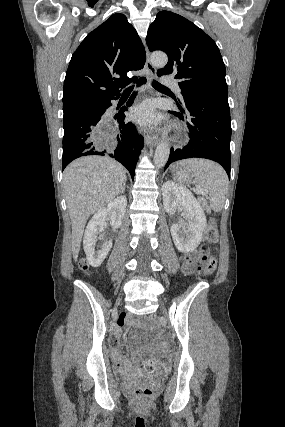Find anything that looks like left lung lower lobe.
I'll return each mask as SVG.
<instances>
[{
  "label": "left lung lower lobe",
  "instance_id": "left-lung-lower-lobe-1",
  "mask_svg": "<svg viewBox=\"0 0 285 427\" xmlns=\"http://www.w3.org/2000/svg\"><path fill=\"white\" fill-rule=\"evenodd\" d=\"M179 112H172L189 127L190 141L183 149L173 148L165 169L174 161L206 158L218 162L230 177L231 119L228 102L212 97L184 98L176 101ZM188 115V117H185Z\"/></svg>",
  "mask_w": 285,
  "mask_h": 427
}]
</instances>
